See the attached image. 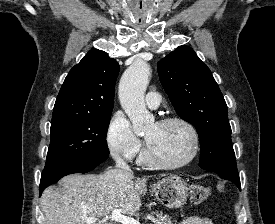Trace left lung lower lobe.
<instances>
[{
    "instance_id": "obj_1",
    "label": "left lung lower lobe",
    "mask_w": 275,
    "mask_h": 224,
    "mask_svg": "<svg viewBox=\"0 0 275 224\" xmlns=\"http://www.w3.org/2000/svg\"><path fill=\"white\" fill-rule=\"evenodd\" d=\"M228 180L232 181L234 184H236V186L241 189V185H240V179L239 178H228Z\"/></svg>"
}]
</instances>
